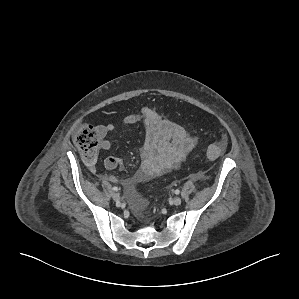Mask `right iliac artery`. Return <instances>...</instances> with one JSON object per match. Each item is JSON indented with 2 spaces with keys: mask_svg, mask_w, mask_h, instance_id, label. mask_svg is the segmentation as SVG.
I'll use <instances>...</instances> for the list:
<instances>
[{
  "mask_svg": "<svg viewBox=\"0 0 299 299\" xmlns=\"http://www.w3.org/2000/svg\"><path fill=\"white\" fill-rule=\"evenodd\" d=\"M112 189H113L114 191H118V187H116V186H114Z\"/></svg>",
  "mask_w": 299,
  "mask_h": 299,
  "instance_id": "82829eb1",
  "label": "right iliac artery"
}]
</instances>
